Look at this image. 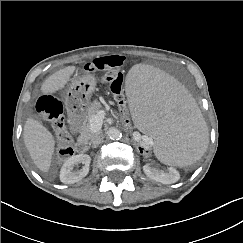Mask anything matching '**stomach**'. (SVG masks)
<instances>
[{
	"mask_svg": "<svg viewBox=\"0 0 243 243\" xmlns=\"http://www.w3.org/2000/svg\"><path fill=\"white\" fill-rule=\"evenodd\" d=\"M97 85L94 75L86 74L72 81L64 94V103L70 119L86 115L89 99Z\"/></svg>",
	"mask_w": 243,
	"mask_h": 243,
	"instance_id": "stomach-1",
	"label": "stomach"
}]
</instances>
